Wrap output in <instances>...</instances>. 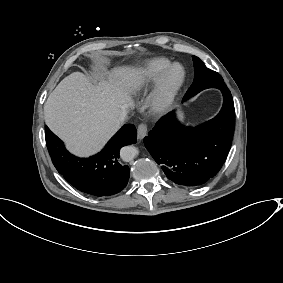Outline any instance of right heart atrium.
Masks as SVG:
<instances>
[{"label":"right heart atrium","instance_id":"1","mask_svg":"<svg viewBox=\"0 0 283 283\" xmlns=\"http://www.w3.org/2000/svg\"><path fill=\"white\" fill-rule=\"evenodd\" d=\"M119 98H120L121 100H125V98H124V96H123L122 94H119Z\"/></svg>","mask_w":283,"mask_h":283}]
</instances>
